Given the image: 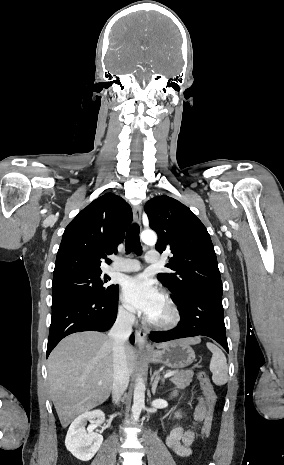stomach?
I'll return each instance as SVG.
<instances>
[{
    "label": "stomach",
    "instance_id": "obj_1",
    "mask_svg": "<svg viewBox=\"0 0 284 465\" xmlns=\"http://www.w3.org/2000/svg\"><path fill=\"white\" fill-rule=\"evenodd\" d=\"M144 359H149L151 363H162L172 369H183L195 361V353L184 341H170L166 343L162 351H152L145 353Z\"/></svg>",
    "mask_w": 284,
    "mask_h": 465
}]
</instances>
